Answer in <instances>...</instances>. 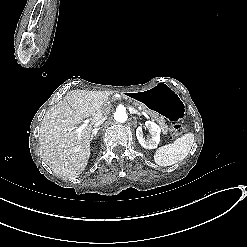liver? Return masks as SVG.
I'll return each mask as SVG.
<instances>
[{
  "label": "liver",
  "instance_id": "obj_1",
  "mask_svg": "<svg viewBox=\"0 0 247 247\" xmlns=\"http://www.w3.org/2000/svg\"><path fill=\"white\" fill-rule=\"evenodd\" d=\"M107 99L102 91L75 89L46 111L41 121L39 151L44 164L56 175L71 179L84 172L91 155L92 127L106 117ZM86 118L90 120L79 140L72 131Z\"/></svg>",
  "mask_w": 247,
  "mask_h": 247
}]
</instances>
